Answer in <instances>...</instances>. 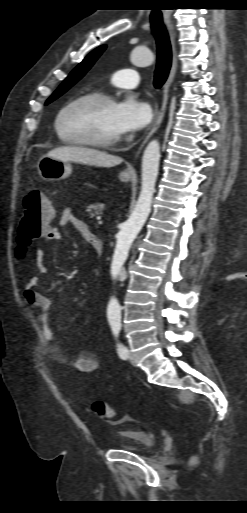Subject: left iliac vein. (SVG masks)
Masks as SVG:
<instances>
[{"instance_id":"obj_1","label":"left iliac vein","mask_w":247,"mask_h":513,"mask_svg":"<svg viewBox=\"0 0 247 513\" xmlns=\"http://www.w3.org/2000/svg\"><path fill=\"white\" fill-rule=\"evenodd\" d=\"M129 359H130V362L133 366H136L137 365V361L135 359V357L133 356L132 353H129Z\"/></svg>"}]
</instances>
